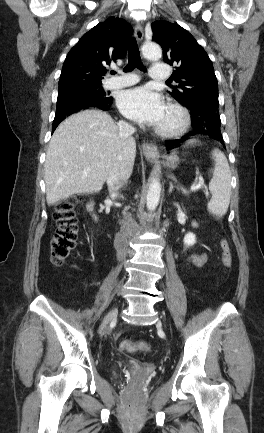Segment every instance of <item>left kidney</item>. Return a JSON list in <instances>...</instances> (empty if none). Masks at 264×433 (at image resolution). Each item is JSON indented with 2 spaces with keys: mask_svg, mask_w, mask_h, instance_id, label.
I'll list each match as a JSON object with an SVG mask.
<instances>
[{
  "mask_svg": "<svg viewBox=\"0 0 264 433\" xmlns=\"http://www.w3.org/2000/svg\"><path fill=\"white\" fill-rule=\"evenodd\" d=\"M192 225H193V226H197L196 222H193ZM183 241H184V244H185L187 247H189V246H192V245L195 244V242H196V237H195V235H194L193 233H188V234L185 235Z\"/></svg>",
  "mask_w": 264,
  "mask_h": 433,
  "instance_id": "obj_1",
  "label": "left kidney"
}]
</instances>
